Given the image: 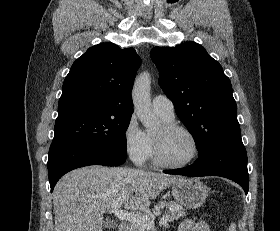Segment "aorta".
I'll use <instances>...</instances> for the list:
<instances>
[{
    "label": "aorta",
    "mask_w": 280,
    "mask_h": 231,
    "mask_svg": "<svg viewBox=\"0 0 280 231\" xmlns=\"http://www.w3.org/2000/svg\"><path fill=\"white\" fill-rule=\"evenodd\" d=\"M150 90L151 76L148 72H142L140 76H137L132 90L134 110L144 127L158 129L161 121L151 110Z\"/></svg>",
    "instance_id": "1"
}]
</instances>
